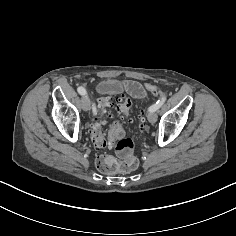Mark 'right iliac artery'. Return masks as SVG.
Wrapping results in <instances>:
<instances>
[{
  "label": "right iliac artery",
  "instance_id": "right-iliac-artery-1",
  "mask_svg": "<svg viewBox=\"0 0 236 236\" xmlns=\"http://www.w3.org/2000/svg\"><path fill=\"white\" fill-rule=\"evenodd\" d=\"M77 91L80 95H86V90L83 87H78ZM95 109L96 108L93 107V112H95Z\"/></svg>",
  "mask_w": 236,
  "mask_h": 236
}]
</instances>
